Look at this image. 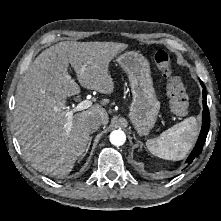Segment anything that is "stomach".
<instances>
[{
	"label": "stomach",
	"instance_id": "1",
	"mask_svg": "<svg viewBox=\"0 0 221 221\" xmlns=\"http://www.w3.org/2000/svg\"><path fill=\"white\" fill-rule=\"evenodd\" d=\"M127 73L133 100L129 117L139 135H146L154 127L160 110L151 78L150 64L139 52L127 51L117 57Z\"/></svg>",
	"mask_w": 221,
	"mask_h": 221
}]
</instances>
